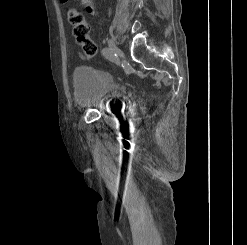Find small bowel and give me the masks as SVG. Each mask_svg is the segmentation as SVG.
Here are the masks:
<instances>
[{
    "mask_svg": "<svg viewBox=\"0 0 247 245\" xmlns=\"http://www.w3.org/2000/svg\"><path fill=\"white\" fill-rule=\"evenodd\" d=\"M78 1H80L81 4L85 6L86 11H87L89 14H94V8H93V6H92L90 0L87 1V2H83L82 0H78ZM78 54H79V56H80L81 58H83V59H89V57H90V56H88L87 54L84 55V54H82V53H80V52H79Z\"/></svg>",
    "mask_w": 247,
    "mask_h": 245,
    "instance_id": "small-bowel-1",
    "label": "small bowel"
}]
</instances>
